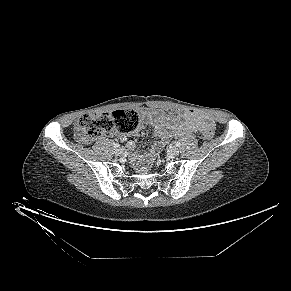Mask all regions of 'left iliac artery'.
<instances>
[{
    "label": "left iliac artery",
    "mask_w": 291,
    "mask_h": 291,
    "mask_svg": "<svg viewBox=\"0 0 291 291\" xmlns=\"http://www.w3.org/2000/svg\"><path fill=\"white\" fill-rule=\"evenodd\" d=\"M175 145H176L177 147H180V146H181V142L177 141V142L175 143Z\"/></svg>",
    "instance_id": "left-iliac-artery-1"
}]
</instances>
